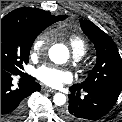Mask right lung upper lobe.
<instances>
[{
  "label": "right lung upper lobe",
  "mask_w": 122,
  "mask_h": 122,
  "mask_svg": "<svg viewBox=\"0 0 122 122\" xmlns=\"http://www.w3.org/2000/svg\"><path fill=\"white\" fill-rule=\"evenodd\" d=\"M66 17V15L53 16L50 12L29 7L18 8L5 16V18H16L33 26H49L64 20Z\"/></svg>",
  "instance_id": "obj_1"
}]
</instances>
